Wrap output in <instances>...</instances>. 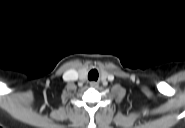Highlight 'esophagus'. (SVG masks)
<instances>
[{"label":"esophagus","mask_w":185,"mask_h":128,"mask_svg":"<svg viewBox=\"0 0 185 128\" xmlns=\"http://www.w3.org/2000/svg\"><path fill=\"white\" fill-rule=\"evenodd\" d=\"M90 86L93 88H97L98 87V83L96 81H91L90 82Z\"/></svg>","instance_id":"obj_1"}]
</instances>
